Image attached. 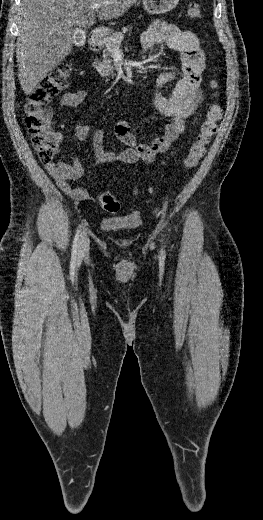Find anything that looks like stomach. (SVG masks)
Here are the masks:
<instances>
[{
  "label": "stomach",
  "instance_id": "0dacf381",
  "mask_svg": "<svg viewBox=\"0 0 263 520\" xmlns=\"http://www.w3.org/2000/svg\"><path fill=\"white\" fill-rule=\"evenodd\" d=\"M179 0H143L144 9L150 14H163L178 5ZM108 29V34L110 33Z\"/></svg>",
  "mask_w": 263,
  "mask_h": 520
}]
</instances>
